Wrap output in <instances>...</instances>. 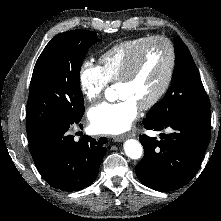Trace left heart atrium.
Returning <instances> with one entry per match:
<instances>
[{
    "label": "left heart atrium",
    "mask_w": 221,
    "mask_h": 221,
    "mask_svg": "<svg viewBox=\"0 0 221 221\" xmlns=\"http://www.w3.org/2000/svg\"><path fill=\"white\" fill-rule=\"evenodd\" d=\"M139 113V105L129 97L115 103L103 102L89 110V120L98 133L119 134L128 130Z\"/></svg>",
    "instance_id": "obj_1"
}]
</instances>
